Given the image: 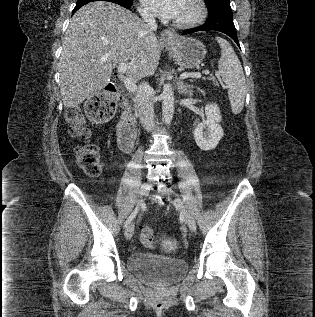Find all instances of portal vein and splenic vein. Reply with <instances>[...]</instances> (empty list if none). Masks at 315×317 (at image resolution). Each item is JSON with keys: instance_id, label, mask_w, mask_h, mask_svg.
<instances>
[{"instance_id": "obj_1", "label": "portal vein and splenic vein", "mask_w": 315, "mask_h": 317, "mask_svg": "<svg viewBox=\"0 0 315 317\" xmlns=\"http://www.w3.org/2000/svg\"><path fill=\"white\" fill-rule=\"evenodd\" d=\"M127 70V63L126 62H122L119 66H118V72L121 74L123 82L125 84V86L127 87V89H129L130 91H135L136 90V84L128 77L124 76V74L126 73ZM209 70H205L204 74L209 75ZM202 76V74L200 72H193V73H182L180 75V79H186L189 77L192 78H200Z\"/></svg>"}]
</instances>
